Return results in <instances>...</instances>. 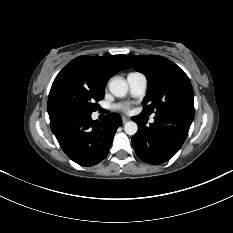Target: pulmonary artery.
<instances>
[{
  "label": "pulmonary artery",
  "mask_w": 233,
  "mask_h": 233,
  "mask_svg": "<svg viewBox=\"0 0 233 233\" xmlns=\"http://www.w3.org/2000/svg\"><path fill=\"white\" fill-rule=\"evenodd\" d=\"M127 82L130 88V92L133 96L139 97L142 96L147 88V79L141 73H130L127 76ZM151 121H154V118H151Z\"/></svg>",
  "instance_id": "e3ab8cb5"
}]
</instances>
